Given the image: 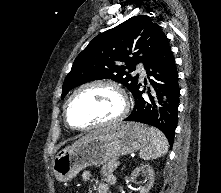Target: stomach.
Returning a JSON list of instances; mask_svg holds the SVG:
<instances>
[{"instance_id": "0dacf381", "label": "stomach", "mask_w": 221, "mask_h": 193, "mask_svg": "<svg viewBox=\"0 0 221 193\" xmlns=\"http://www.w3.org/2000/svg\"><path fill=\"white\" fill-rule=\"evenodd\" d=\"M150 140L148 126L128 122L87 137L59 152L52 170L58 181L67 182L88 166H100L119 156L134 153Z\"/></svg>"}]
</instances>
